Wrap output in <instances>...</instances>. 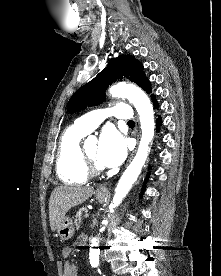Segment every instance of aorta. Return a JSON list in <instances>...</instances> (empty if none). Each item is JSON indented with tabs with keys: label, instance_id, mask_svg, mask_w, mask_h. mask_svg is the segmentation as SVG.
<instances>
[{
	"label": "aorta",
	"instance_id": "762f6f07",
	"mask_svg": "<svg viewBox=\"0 0 221 276\" xmlns=\"http://www.w3.org/2000/svg\"><path fill=\"white\" fill-rule=\"evenodd\" d=\"M109 93L112 97H125L134 105L139 114L142 131L138 151L116 186L113 201L110 205V211L113 212V209L122 202L141 173L148 156L149 145L154 136L155 122L153 106L147 95L140 88L130 84L119 83L112 86ZM103 223L106 224L107 221ZM99 255L98 239L94 238L89 252V259L92 265H98Z\"/></svg>",
	"mask_w": 221,
	"mask_h": 276
}]
</instances>
